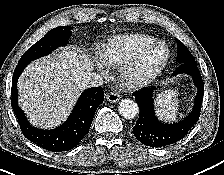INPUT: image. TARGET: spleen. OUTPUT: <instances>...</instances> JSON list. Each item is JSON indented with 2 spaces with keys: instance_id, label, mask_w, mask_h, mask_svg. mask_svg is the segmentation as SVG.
<instances>
[{
  "instance_id": "spleen-1",
  "label": "spleen",
  "mask_w": 224,
  "mask_h": 175,
  "mask_svg": "<svg viewBox=\"0 0 224 175\" xmlns=\"http://www.w3.org/2000/svg\"><path fill=\"white\" fill-rule=\"evenodd\" d=\"M177 92L166 90L157 94L155 98L156 113L165 121H173L178 114L179 102L176 98Z\"/></svg>"
}]
</instances>
